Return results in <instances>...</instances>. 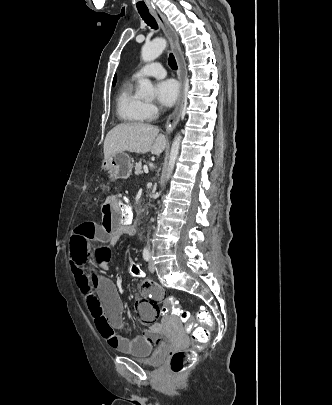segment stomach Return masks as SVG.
Returning <instances> with one entry per match:
<instances>
[{
  "mask_svg": "<svg viewBox=\"0 0 332 405\" xmlns=\"http://www.w3.org/2000/svg\"><path fill=\"white\" fill-rule=\"evenodd\" d=\"M131 157L125 152H118L102 163V168L107 170L111 177L127 178L132 171Z\"/></svg>",
  "mask_w": 332,
  "mask_h": 405,
  "instance_id": "stomach-1",
  "label": "stomach"
}]
</instances>
